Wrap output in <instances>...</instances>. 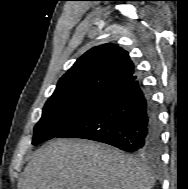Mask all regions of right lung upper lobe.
<instances>
[{"instance_id": "1", "label": "right lung upper lobe", "mask_w": 188, "mask_h": 189, "mask_svg": "<svg viewBox=\"0 0 188 189\" xmlns=\"http://www.w3.org/2000/svg\"><path fill=\"white\" fill-rule=\"evenodd\" d=\"M136 78L128 53L116 44H103L74 63L58 81L53 95L85 90L112 92Z\"/></svg>"}]
</instances>
